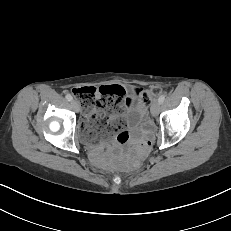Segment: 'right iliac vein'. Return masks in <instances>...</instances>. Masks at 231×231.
<instances>
[{"mask_svg": "<svg viewBox=\"0 0 231 231\" xmlns=\"http://www.w3.org/2000/svg\"><path fill=\"white\" fill-rule=\"evenodd\" d=\"M71 106L76 112H79L80 106H79V103L77 101H75V100L71 101Z\"/></svg>", "mask_w": 231, "mask_h": 231, "instance_id": "obj_1", "label": "right iliac vein"}]
</instances>
